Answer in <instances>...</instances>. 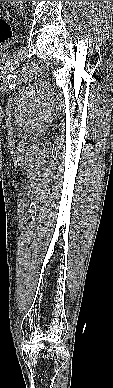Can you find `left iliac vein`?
<instances>
[{
	"instance_id": "4c4485c4",
	"label": "left iliac vein",
	"mask_w": 113,
	"mask_h": 388,
	"mask_svg": "<svg viewBox=\"0 0 113 388\" xmlns=\"http://www.w3.org/2000/svg\"><path fill=\"white\" fill-rule=\"evenodd\" d=\"M17 10L19 14H23L24 11V1H15Z\"/></svg>"
}]
</instances>
